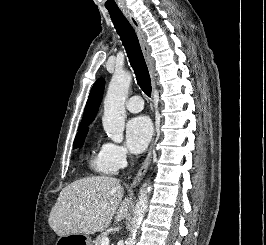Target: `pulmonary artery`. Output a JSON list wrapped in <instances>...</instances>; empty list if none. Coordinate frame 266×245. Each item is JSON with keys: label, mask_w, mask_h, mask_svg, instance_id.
<instances>
[{"label": "pulmonary artery", "mask_w": 266, "mask_h": 245, "mask_svg": "<svg viewBox=\"0 0 266 245\" xmlns=\"http://www.w3.org/2000/svg\"><path fill=\"white\" fill-rule=\"evenodd\" d=\"M142 96H131L129 100L126 101L125 107L127 110L133 113L140 112L143 109Z\"/></svg>", "instance_id": "1"}]
</instances>
